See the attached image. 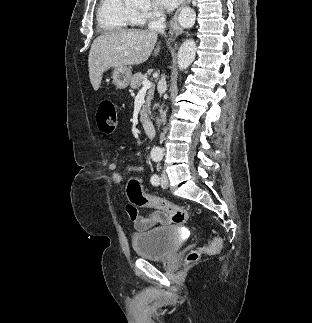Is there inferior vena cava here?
Returning <instances> with one entry per match:
<instances>
[{
	"label": "inferior vena cava",
	"instance_id": "obj_1",
	"mask_svg": "<svg viewBox=\"0 0 312 323\" xmlns=\"http://www.w3.org/2000/svg\"><path fill=\"white\" fill-rule=\"evenodd\" d=\"M157 18L156 20H152L149 24V30H155V32H161V34H165L164 30L166 28L165 26V20L166 16L165 14H162V12H157L156 14ZM159 92H163V90H166V80L165 76H162L159 84H158ZM158 124H160V120H157Z\"/></svg>",
	"mask_w": 312,
	"mask_h": 323
}]
</instances>
